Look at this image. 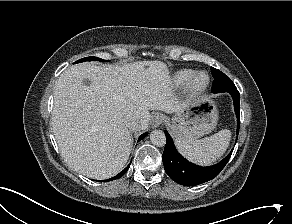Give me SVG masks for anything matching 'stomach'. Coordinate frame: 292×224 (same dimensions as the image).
<instances>
[{"instance_id":"1","label":"stomach","mask_w":292,"mask_h":224,"mask_svg":"<svg viewBox=\"0 0 292 224\" xmlns=\"http://www.w3.org/2000/svg\"><path fill=\"white\" fill-rule=\"evenodd\" d=\"M218 108L211 96L202 95L186 105L171 119V133L176 138L197 139L217 126Z\"/></svg>"}]
</instances>
